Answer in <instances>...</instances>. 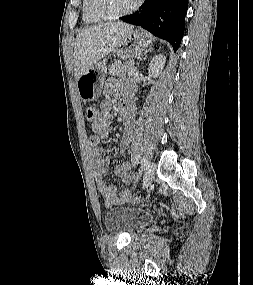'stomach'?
I'll return each instance as SVG.
<instances>
[{"label": "stomach", "instance_id": "obj_1", "mask_svg": "<svg viewBox=\"0 0 253 285\" xmlns=\"http://www.w3.org/2000/svg\"><path fill=\"white\" fill-rule=\"evenodd\" d=\"M151 43L152 39L147 32L141 29H131L111 53L114 57L117 56L121 60H127L139 55ZM106 74L107 67L105 63L98 62L76 81L79 97L84 102L95 101L99 98Z\"/></svg>", "mask_w": 253, "mask_h": 285}]
</instances>
